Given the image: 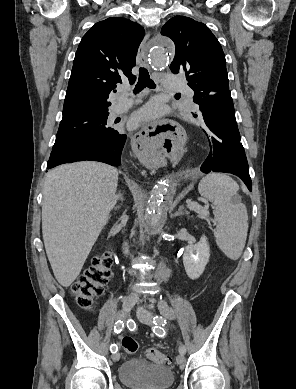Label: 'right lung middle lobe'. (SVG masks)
<instances>
[{"label": "right lung middle lobe", "mask_w": 296, "mask_h": 389, "mask_svg": "<svg viewBox=\"0 0 296 389\" xmlns=\"http://www.w3.org/2000/svg\"><path fill=\"white\" fill-rule=\"evenodd\" d=\"M109 113H77L62 117L53 150L77 145L102 136H111L118 131L107 127Z\"/></svg>", "instance_id": "obj_1"}]
</instances>
